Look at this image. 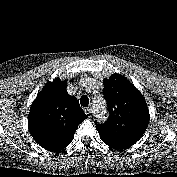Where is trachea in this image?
<instances>
[{
  "instance_id": "obj_1",
  "label": "trachea",
  "mask_w": 177,
  "mask_h": 177,
  "mask_svg": "<svg viewBox=\"0 0 177 177\" xmlns=\"http://www.w3.org/2000/svg\"><path fill=\"white\" fill-rule=\"evenodd\" d=\"M80 103H81V106H87L88 103H89V98L87 95H83L81 98H80Z\"/></svg>"
}]
</instances>
